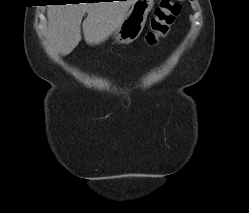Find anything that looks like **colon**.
<instances>
[{"mask_svg":"<svg viewBox=\"0 0 249 213\" xmlns=\"http://www.w3.org/2000/svg\"><path fill=\"white\" fill-rule=\"evenodd\" d=\"M181 12V5L175 0H160L150 21V30L145 35L147 46L154 47L167 36L175 18Z\"/></svg>","mask_w":249,"mask_h":213,"instance_id":"1","label":"colon"}]
</instances>
